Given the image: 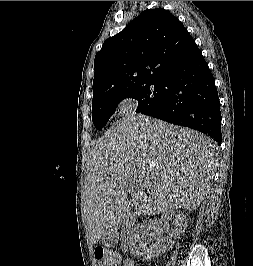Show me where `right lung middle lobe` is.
Here are the masks:
<instances>
[{
    "label": "right lung middle lobe",
    "instance_id": "right-lung-middle-lobe-1",
    "mask_svg": "<svg viewBox=\"0 0 253 266\" xmlns=\"http://www.w3.org/2000/svg\"><path fill=\"white\" fill-rule=\"evenodd\" d=\"M163 90L162 80L152 81L131 90L109 95L92 103V121L94 126L98 130L102 129L115 112L118 103L125 98L138 100L136 112L145 115L149 114L161 103Z\"/></svg>",
    "mask_w": 253,
    "mask_h": 266
}]
</instances>
